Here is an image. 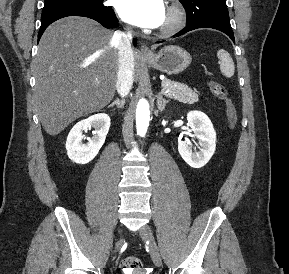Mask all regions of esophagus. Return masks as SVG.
Instances as JSON below:
<instances>
[{
  "instance_id": "1",
  "label": "esophagus",
  "mask_w": 289,
  "mask_h": 274,
  "mask_svg": "<svg viewBox=\"0 0 289 274\" xmlns=\"http://www.w3.org/2000/svg\"><path fill=\"white\" fill-rule=\"evenodd\" d=\"M141 53L144 56H151L153 54L152 50L144 43L141 45Z\"/></svg>"
}]
</instances>
